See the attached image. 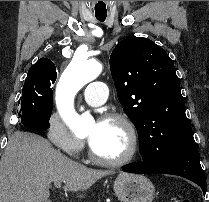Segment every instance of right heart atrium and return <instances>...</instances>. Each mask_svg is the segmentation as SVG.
I'll list each match as a JSON object with an SVG mask.
<instances>
[{
  "mask_svg": "<svg viewBox=\"0 0 209 202\" xmlns=\"http://www.w3.org/2000/svg\"><path fill=\"white\" fill-rule=\"evenodd\" d=\"M47 136L55 146L69 156H77L84 147V140L76 136L56 116H52L49 120Z\"/></svg>",
  "mask_w": 209,
  "mask_h": 202,
  "instance_id": "obj_1",
  "label": "right heart atrium"
}]
</instances>
